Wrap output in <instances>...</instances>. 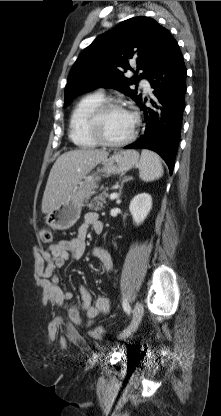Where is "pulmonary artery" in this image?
I'll return each instance as SVG.
<instances>
[{
	"label": "pulmonary artery",
	"instance_id": "1",
	"mask_svg": "<svg viewBox=\"0 0 221 416\" xmlns=\"http://www.w3.org/2000/svg\"><path fill=\"white\" fill-rule=\"evenodd\" d=\"M141 85L143 86V88L145 89V91H151V87L148 81H142Z\"/></svg>",
	"mask_w": 221,
	"mask_h": 416
}]
</instances>
